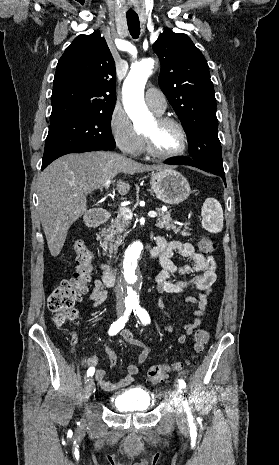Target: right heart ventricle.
<instances>
[{
  "mask_svg": "<svg viewBox=\"0 0 279 465\" xmlns=\"http://www.w3.org/2000/svg\"><path fill=\"white\" fill-rule=\"evenodd\" d=\"M144 148H145V146H144V140H143V137H141L140 145H139V148H138L137 153L142 152V151L144 150Z\"/></svg>",
  "mask_w": 279,
  "mask_h": 465,
  "instance_id": "1",
  "label": "right heart ventricle"
}]
</instances>
